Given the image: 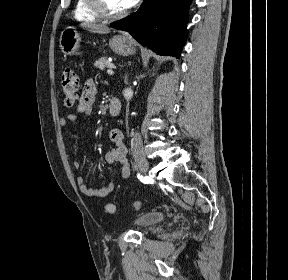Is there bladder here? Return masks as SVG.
<instances>
[{"instance_id":"1","label":"bladder","mask_w":288,"mask_h":280,"mask_svg":"<svg viewBox=\"0 0 288 280\" xmlns=\"http://www.w3.org/2000/svg\"><path fill=\"white\" fill-rule=\"evenodd\" d=\"M164 218L165 215L162 212L151 211L137 217L134 223L140 228H150L161 223Z\"/></svg>"}]
</instances>
